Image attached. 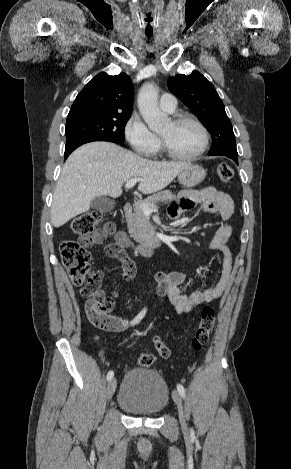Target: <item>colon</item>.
Here are the masks:
<instances>
[{
	"label": "colon",
	"mask_w": 291,
	"mask_h": 469,
	"mask_svg": "<svg viewBox=\"0 0 291 469\" xmlns=\"http://www.w3.org/2000/svg\"><path fill=\"white\" fill-rule=\"evenodd\" d=\"M217 173L224 183L230 182L234 176L232 167L227 163H220ZM101 218L102 214L99 211H88L75 217L71 222V230L80 238L63 240L60 244V253L72 283L81 287V294L86 298L85 311L89 321L99 329L109 330L113 321L108 313L114 306V300L106 296L105 292L99 288L102 273L92 271L90 253L87 249L99 235L100 230L96 228ZM106 253L123 257L121 248L115 243L106 246ZM119 271L124 279H130L135 274V265L130 259L123 257ZM215 320V312L212 308L202 309L191 341L195 351H200L208 343ZM153 343L162 358L171 357V350L160 337L155 336ZM155 361L156 355L153 353H142L138 359L139 364L146 368L151 367Z\"/></svg>",
	"instance_id": "obj_1"
}]
</instances>
